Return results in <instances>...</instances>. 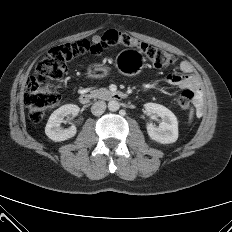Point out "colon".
Masks as SVG:
<instances>
[{
    "mask_svg": "<svg viewBox=\"0 0 232 232\" xmlns=\"http://www.w3.org/2000/svg\"><path fill=\"white\" fill-rule=\"evenodd\" d=\"M115 46L138 48L153 64L161 68L172 65L175 54L138 40L133 36L108 30L92 40H81L53 47L37 64L33 75L26 83L24 104L32 122L41 121L45 113L59 101L57 84L67 74L70 63L78 56L100 55ZM193 92L184 90L177 98L178 106L189 111L192 107Z\"/></svg>",
    "mask_w": 232,
    "mask_h": 232,
    "instance_id": "obj_1",
    "label": "colon"
}]
</instances>
